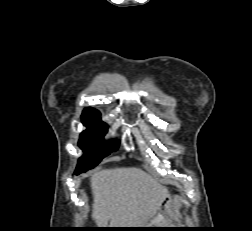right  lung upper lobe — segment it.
<instances>
[{
	"instance_id": "right-lung-upper-lobe-1",
	"label": "right lung upper lobe",
	"mask_w": 252,
	"mask_h": 231,
	"mask_svg": "<svg viewBox=\"0 0 252 231\" xmlns=\"http://www.w3.org/2000/svg\"><path fill=\"white\" fill-rule=\"evenodd\" d=\"M82 115H100V112L93 108H85Z\"/></svg>"
}]
</instances>
